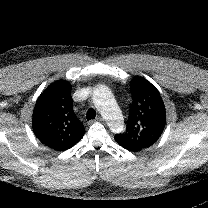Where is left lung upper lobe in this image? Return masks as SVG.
I'll return each instance as SVG.
<instances>
[{
  "mask_svg": "<svg viewBox=\"0 0 208 208\" xmlns=\"http://www.w3.org/2000/svg\"><path fill=\"white\" fill-rule=\"evenodd\" d=\"M130 88L133 100L126 131L114 138L145 149L153 145L164 130L165 106L158 90L145 78L134 77Z\"/></svg>",
  "mask_w": 208,
  "mask_h": 208,
  "instance_id": "left-lung-upper-lobe-1",
  "label": "left lung upper lobe"
}]
</instances>
